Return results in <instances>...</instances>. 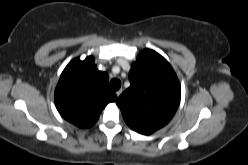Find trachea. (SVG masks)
<instances>
[{
  "mask_svg": "<svg viewBox=\"0 0 248 165\" xmlns=\"http://www.w3.org/2000/svg\"><path fill=\"white\" fill-rule=\"evenodd\" d=\"M110 87L112 90L117 91L121 87V81L117 78H114L110 81Z\"/></svg>",
  "mask_w": 248,
  "mask_h": 165,
  "instance_id": "trachea-1",
  "label": "trachea"
}]
</instances>
